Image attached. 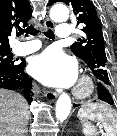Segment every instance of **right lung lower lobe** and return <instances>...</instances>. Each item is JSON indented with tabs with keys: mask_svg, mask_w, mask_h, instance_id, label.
Wrapping results in <instances>:
<instances>
[{
	"mask_svg": "<svg viewBox=\"0 0 117 136\" xmlns=\"http://www.w3.org/2000/svg\"><path fill=\"white\" fill-rule=\"evenodd\" d=\"M25 61L11 67L0 66V88L10 90H23L24 97L30 104L31 97V79L24 72Z\"/></svg>",
	"mask_w": 117,
	"mask_h": 136,
	"instance_id": "obj_1",
	"label": "right lung lower lobe"
}]
</instances>
